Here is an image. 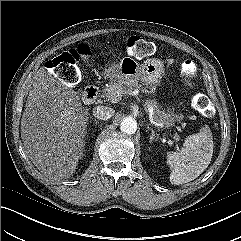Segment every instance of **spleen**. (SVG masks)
I'll list each match as a JSON object with an SVG mask.
<instances>
[{
	"instance_id": "obj_1",
	"label": "spleen",
	"mask_w": 241,
	"mask_h": 241,
	"mask_svg": "<svg viewBox=\"0 0 241 241\" xmlns=\"http://www.w3.org/2000/svg\"><path fill=\"white\" fill-rule=\"evenodd\" d=\"M213 148L212 135L207 126L188 136L181 152L167 153L170 182L179 185L196 179L210 164Z\"/></svg>"
}]
</instances>
